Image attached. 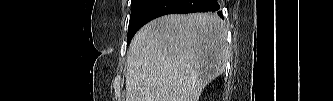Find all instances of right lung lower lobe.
Returning a JSON list of instances; mask_svg holds the SVG:
<instances>
[{
  "mask_svg": "<svg viewBox=\"0 0 333 101\" xmlns=\"http://www.w3.org/2000/svg\"><path fill=\"white\" fill-rule=\"evenodd\" d=\"M219 9L217 0H143L132 20L133 36L143 25L162 15L217 12L223 17Z\"/></svg>",
  "mask_w": 333,
  "mask_h": 101,
  "instance_id": "obj_1",
  "label": "right lung lower lobe"
}]
</instances>
